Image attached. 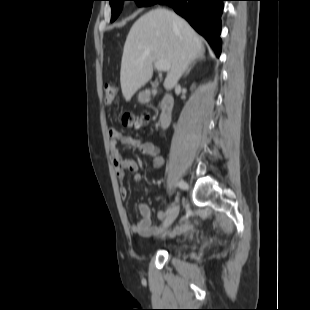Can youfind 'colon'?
<instances>
[{
	"label": "colon",
	"mask_w": 310,
	"mask_h": 310,
	"mask_svg": "<svg viewBox=\"0 0 310 310\" xmlns=\"http://www.w3.org/2000/svg\"><path fill=\"white\" fill-rule=\"evenodd\" d=\"M103 99L105 104L113 105L117 102L118 99V89L114 84L105 83L103 86ZM121 123L125 127L130 128H141L149 120V115L144 116H135L132 114L124 113L120 117Z\"/></svg>",
	"instance_id": "1"
}]
</instances>
